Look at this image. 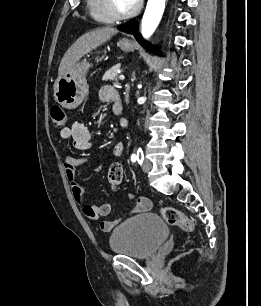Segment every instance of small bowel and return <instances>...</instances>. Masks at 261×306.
<instances>
[{"instance_id": "obj_1", "label": "small bowel", "mask_w": 261, "mask_h": 306, "mask_svg": "<svg viewBox=\"0 0 261 306\" xmlns=\"http://www.w3.org/2000/svg\"><path fill=\"white\" fill-rule=\"evenodd\" d=\"M100 99L104 102L113 104L114 107L122 108L121 99L119 93L112 87L105 86L100 90ZM122 126H126V122L122 121ZM60 137L64 140L71 139L74 148L78 150H87L91 147L92 134L91 131L80 122L73 123L70 127H66L61 130ZM123 144L117 143L113 149L115 156H121L123 152ZM105 155L101 156L103 158ZM88 163L86 157H75L67 155L64 160V170L66 177L71 182V191L75 200L79 203L82 202L83 197V186L75 182V176L77 168ZM151 202L145 197H139L136 199L134 206L129 210V214H137L149 210ZM111 204L105 203L102 205H84L83 213L87 218L92 221H99L100 218L106 217L111 213ZM119 220H107L101 221L99 227L102 231H111Z\"/></svg>"}]
</instances>
